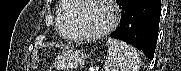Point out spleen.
Here are the masks:
<instances>
[{
  "instance_id": "1",
  "label": "spleen",
  "mask_w": 181,
  "mask_h": 71,
  "mask_svg": "<svg viewBox=\"0 0 181 71\" xmlns=\"http://www.w3.org/2000/svg\"><path fill=\"white\" fill-rule=\"evenodd\" d=\"M108 58L105 62V71H138L140 68V56L137 50L125 42L109 39Z\"/></svg>"
}]
</instances>
